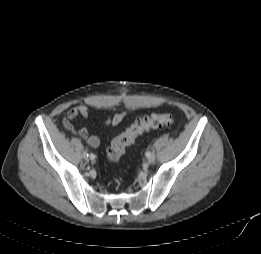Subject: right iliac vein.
I'll list each match as a JSON object with an SVG mask.
<instances>
[{"label":"right iliac vein","mask_w":261,"mask_h":254,"mask_svg":"<svg viewBox=\"0 0 261 254\" xmlns=\"http://www.w3.org/2000/svg\"><path fill=\"white\" fill-rule=\"evenodd\" d=\"M83 158H84V159H87L86 152L83 153Z\"/></svg>","instance_id":"63e3f726"}]
</instances>
